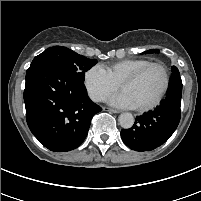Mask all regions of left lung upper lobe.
<instances>
[{"label": "left lung upper lobe", "instance_id": "1", "mask_svg": "<svg viewBox=\"0 0 201 201\" xmlns=\"http://www.w3.org/2000/svg\"><path fill=\"white\" fill-rule=\"evenodd\" d=\"M155 52H159L158 49H151V50L145 51L144 53L145 54H150V53H155ZM179 74L180 73H179L177 67H172V75H179Z\"/></svg>", "mask_w": 201, "mask_h": 201}]
</instances>
